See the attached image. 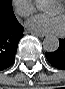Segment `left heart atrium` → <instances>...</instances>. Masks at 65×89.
<instances>
[{
    "label": "left heart atrium",
    "mask_w": 65,
    "mask_h": 89,
    "mask_svg": "<svg viewBox=\"0 0 65 89\" xmlns=\"http://www.w3.org/2000/svg\"><path fill=\"white\" fill-rule=\"evenodd\" d=\"M25 25L28 30L37 34H61L65 29V21L60 15L37 14L30 17Z\"/></svg>",
    "instance_id": "39dd6f15"
}]
</instances>
